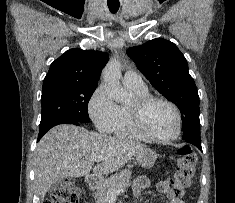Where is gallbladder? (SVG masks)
Returning <instances> with one entry per match:
<instances>
[{
    "mask_svg": "<svg viewBox=\"0 0 235 203\" xmlns=\"http://www.w3.org/2000/svg\"><path fill=\"white\" fill-rule=\"evenodd\" d=\"M60 185H63V180H57V182L49 188V191L52 192V191L58 189L60 187Z\"/></svg>",
    "mask_w": 235,
    "mask_h": 203,
    "instance_id": "gallbladder-1",
    "label": "gallbladder"
}]
</instances>
